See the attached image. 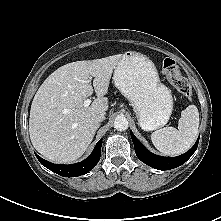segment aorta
I'll list each match as a JSON object with an SVG mask.
<instances>
[{"label":"aorta","mask_w":221,"mask_h":221,"mask_svg":"<svg viewBox=\"0 0 221 221\" xmlns=\"http://www.w3.org/2000/svg\"><path fill=\"white\" fill-rule=\"evenodd\" d=\"M128 120L124 115H118L114 120V127L119 131H125L128 128Z\"/></svg>","instance_id":"obj_1"}]
</instances>
